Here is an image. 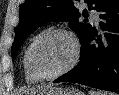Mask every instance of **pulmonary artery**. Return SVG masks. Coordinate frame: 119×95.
Instances as JSON below:
<instances>
[{
	"label": "pulmonary artery",
	"mask_w": 119,
	"mask_h": 95,
	"mask_svg": "<svg viewBox=\"0 0 119 95\" xmlns=\"http://www.w3.org/2000/svg\"><path fill=\"white\" fill-rule=\"evenodd\" d=\"M91 19L95 22L98 23L99 21V15L96 11H91Z\"/></svg>",
	"instance_id": "obj_1"
}]
</instances>
